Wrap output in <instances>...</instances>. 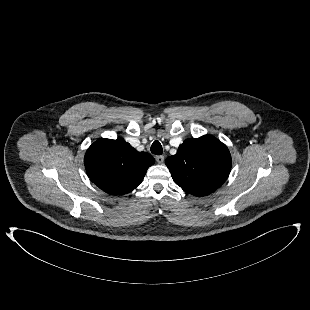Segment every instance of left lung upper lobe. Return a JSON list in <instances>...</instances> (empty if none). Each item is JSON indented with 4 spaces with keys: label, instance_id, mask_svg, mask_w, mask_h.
<instances>
[{
    "label": "left lung upper lobe",
    "instance_id": "left-lung-upper-lobe-1",
    "mask_svg": "<svg viewBox=\"0 0 310 310\" xmlns=\"http://www.w3.org/2000/svg\"><path fill=\"white\" fill-rule=\"evenodd\" d=\"M231 162L226 145L210 135L186 139L165 161L174 182L195 196L218 189L230 173Z\"/></svg>",
    "mask_w": 310,
    "mask_h": 310
}]
</instances>
